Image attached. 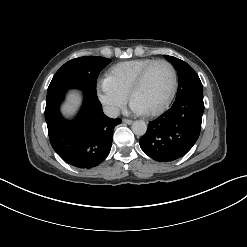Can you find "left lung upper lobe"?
<instances>
[{
  "label": "left lung upper lobe",
  "instance_id": "1",
  "mask_svg": "<svg viewBox=\"0 0 247 247\" xmlns=\"http://www.w3.org/2000/svg\"><path fill=\"white\" fill-rule=\"evenodd\" d=\"M164 57L171 62L178 74L176 98L192 92H203V86L197 73L186 62L173 56L165 55Z\"/></svg>",
  "mask_w": 247,
  "mask_h": 247
}]
</instances>
